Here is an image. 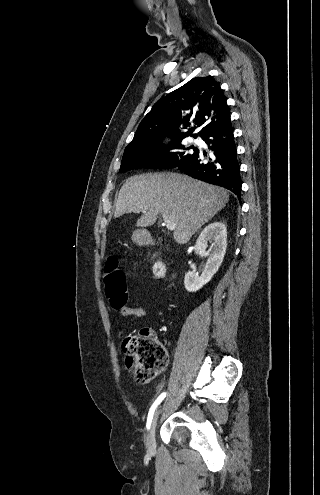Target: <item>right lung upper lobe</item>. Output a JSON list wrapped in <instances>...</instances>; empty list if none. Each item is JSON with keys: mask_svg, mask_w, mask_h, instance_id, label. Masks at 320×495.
<instances>
[{"mask_svg": "<svg viewBox=\"0 0 320 495\" xmlns=\"http://www.w3.org/2000/svg\"><path fill=\"white\" fill-rule=\"evenodd\" d=\"M226 101L219 82L211 76L195 77L154 104L125 151L145 144H159L164 135L170 136L173 142L179 141L197 127L201 130L192 136H202L230 118ZM191 123L196 127L184 132L182 129Z\"/></svg>", "mask_w": 320, "mask_h": 495, "instance_id": "obj_1", "label": "right lung upper lobe"}]
</instances>
